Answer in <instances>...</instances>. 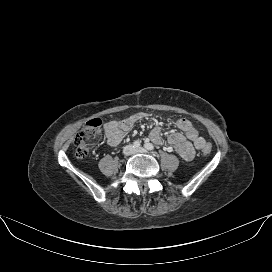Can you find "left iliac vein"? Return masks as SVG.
<instances>
[{
	"label": "left iliac vein",
	"instance_id": "obj_1",
	"mask_svg": "<svg viewBox=\"0 0 272 272\" xmlns=\"http://www.w3.org/2000/svg\"><path fill=\"white\" fill-rule=\"evenodd\" d=\"M134 152H135V153H141V154H144V153H146L147 151H146V149H145V148H143V147H139V148H136V149L134 150Z\"/></svg>",
	"mask_w": 272,
	"mask_h": 272
}]
</instances>
